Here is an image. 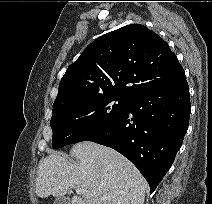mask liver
Returning <instances> with one entry per match:
<instances>
[{
    "mask_svg": "<svg viewBox=\"0 0 212 204\" xmlns=\"http://www.w3.org/2000/svg\"><path fill=\"white\" fill-rule=\"evenodd\" d=\"M71 163L50 153L37 170L35 190L40 198L63 197L70 188H83L71 204H143L147 183L138 169L117 151L93 142L74 145Z\"/></svg>",
    "mask_w": 212,
    "mask_h": 204,
    "instance_id": "6515ba94",
    "label": "liver"
}]
</instances>
